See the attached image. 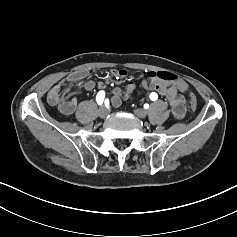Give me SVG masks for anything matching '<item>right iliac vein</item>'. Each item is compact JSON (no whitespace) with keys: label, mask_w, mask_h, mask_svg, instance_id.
Returning a JSON list of instances; mask_svg holds the SVG:
<instances>
[{"label":"right iliac vein","mask_w":237,"mask_h":237,"mask_svg":"<svg viewBox=\"0 0 237 237\" xmlns=\"http://www.w3.org/2000/svg\"><path fill=\"white\" fill-rule=\"evenodd\" d=\"M107 115H108V110H107V108H106V107H102V108L100 109V111H99V117L104 119V118L107 117Z\"/></svg>","instance_id":"1"}]
</instances>
